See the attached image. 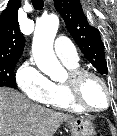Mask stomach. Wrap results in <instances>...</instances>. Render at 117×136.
Wrapping results in <instances>:
<instances>
[{"instance_id": "1", "label": "stomach", "mask_w": 117, "mask_h": 136, "mask_svg": "<svg viewBox=\"0 0 117 136\" xmlns=\"http://www.w3.org/2000/svg\"><path fill=\"white\" fill-rule=\"evenodd\" d=\"M72 136H94V125L89 119L75 118L67 121Z\"/></svg>"}]
</instances>
